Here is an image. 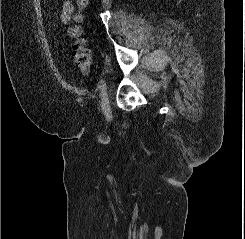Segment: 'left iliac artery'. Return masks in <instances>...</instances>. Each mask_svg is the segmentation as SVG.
<instances>
[{
  "mask_svg": "<svg viewBox=\"0 0 245 239\" xmlns=\"http://www.w3.org/2000/svg\"><path fill=\"white\" fill-rule=\"evenodd\" d=\"M104 79H101L98 83V88L101 90V88L103 87V84H104Z\"/></svg>",
  "mask_w": 245,
  "mask_h": 239,
  "instance_id": "obj_1",
  "label": "left iliac artery"
}]
</instances>
